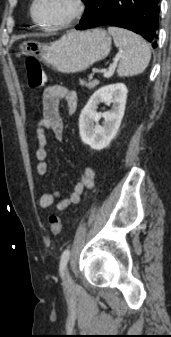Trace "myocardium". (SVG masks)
Listing matches in <instances>:
<instances>
[{"label":"myocardium","mask_w":171,"mask_h":337,"mask_svg":"<svg viewBox=\"0 0 171 337\" xmlns=\"http://www.w3.org/2000/svg\"><path fill=\"white\" fill-rule=\"evenodd\" d=\"M39 0H33L31 7H30V15L33 20V22L41 27L42 29L48 30V31H58L64 28H67L72 23H74L76 20L81 18L86 10V3L85 0H73L74 8L69 17H67L64 21L58 23V24H45L42 23L36 16V5Z\"/></svg>","instance_id":"myocardium-1"}]
</instances>
